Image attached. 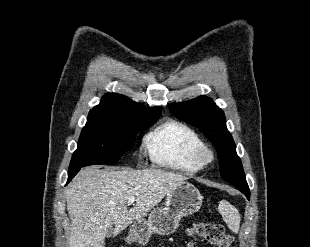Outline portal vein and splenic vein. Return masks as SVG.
Here are the masks:
<instances>
[{
  "mask_svg": "<svg viewBox=\"0 0 310 247\" xmlns=\"http://www.w3.org/2000/svg\"><path fill=\"white\" fill-rule=\"evenodd\" d=\"M135 202V197L128 198V204H133Z\"/></svg>",
  "mask_w": 310,
  "mask_h": 247,
  "instance_id": "portal-vein-and-splenic-vein-1",
  "label": "portal vein and splenic vein"
}]
</instances>
